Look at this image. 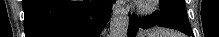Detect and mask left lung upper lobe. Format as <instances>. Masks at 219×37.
Listing matches in <instances>:
<instances>
[{
    "mask_svg": "<svg viewBox=\"0 0 219 37\" xmlns=\"http://www.w3.org/2000/svg\"><path fill=\"white\" fill-rule=\"evenodd\" d=\"M160 12L173 17L183 26L191 29L188 21L185 0H160Z\"/></svg>",
    "mask_w": 219,
    "mask_h": 37,
    "instance_id": "left-lung-upper-lobe-1",
    "label": "left lung upper lobe"
}]
</instances>
